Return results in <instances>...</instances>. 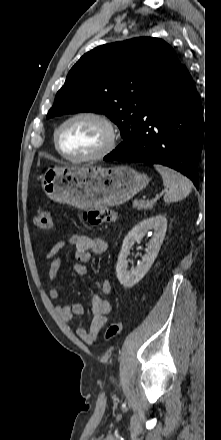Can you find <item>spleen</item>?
<instances>
[{
	"label": "spleen",
	"instance_id": "obj_1",
	"mask_svg": "<svg viewBox=\"0 0 221 440\" xmlns=\"http://www.w3.org/2000/svg\"><path fill=\"white\" fill-rule=\"evenodd\" d=\"M163 179V185L168 188L164 195L166 203L176 202L187 197L192 189V183L180 173L162 165H154Z\"/></svg>",
	"mask_w": 221,
	"mask_h": 440
}]
</instances>
